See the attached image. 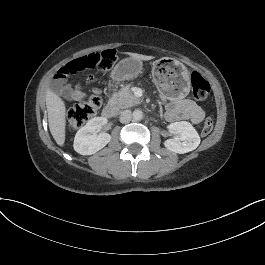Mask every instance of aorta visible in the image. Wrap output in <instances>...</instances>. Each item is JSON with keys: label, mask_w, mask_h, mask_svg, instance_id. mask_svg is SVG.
<instances>
[{"label": "aorta", "mask_w": 265, "mask_h": 265, "mask_svg": "<svg viewBox=\"0 0 265 265\" xmlns=\"http://www.w3.org/2000/svg\"><path fill=\"white\" fill-rule=\"evenodd\" d=\"M134 120L139 121L143 118V112L141 110H135L132 114Z\"/></svg>", "instance_id": "aorta-1"}]
</instances>
